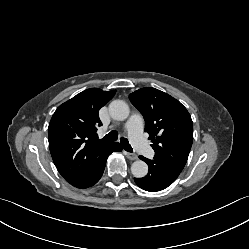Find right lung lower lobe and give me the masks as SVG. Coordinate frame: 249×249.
<instances>
[{"label": "right lung lower lobe", "instance_id": "98d812e1", "mask_svg": "<svg viewBox=\"0 0 249 249\" xmlns=\"http://www.w3.org/2000/svg\"><path fill=\"white\" fill-rule=\"evenodd\" d=\"M121 150L122 148L117 142L111 143L109 146L103 149L96 157L90 170L87 172L84 178L78 184L75 185V187L83 189L96 184L103 174L108 156L114 151Z\"/></svg>", "mask_w": 249, "mask_h": 249}]
</instances>
